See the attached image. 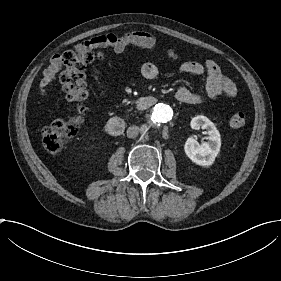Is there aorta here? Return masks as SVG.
Masks as SVG:
<instances>
[{"mask_svg":"<svg viewBox=\"0 0 281 281\" xmlns=\"http://www.w3.org/2000/svg\"><path fill=\"white\" fill-rule=\"evenodd\" d=\"M173 118L172 108L164 103L155 105L152 109V120L156 124L168 123Z\"/></svg>","mask_w":281,"mask_h":281,"instance_id":"aorta-1","label":"aorta"}]
</instances>
